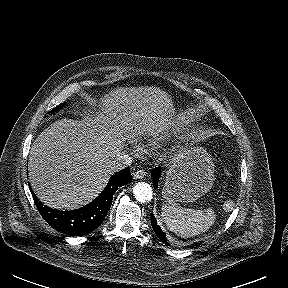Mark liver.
Here are the masks:
<instances>
[{
    "instance_id": "1",
    "label": "liver",
    "mask_w": 288,
    "mask_h": 288,
    "mask_svg": "<svg viewBox=\"0 0 288 288\" xmlns=\"http://www.w3.org/2000/svg\"><path fill=\"white\" fill-rule=\"evenodd\" d=\"M91 105L82 121L51 124L30 149V184L48 207L71 210L91 202L114 173L109 166L124 141L154 137L176 118L171 98L157 87L117 88Z\"/></svg>"
}]
</instances>
